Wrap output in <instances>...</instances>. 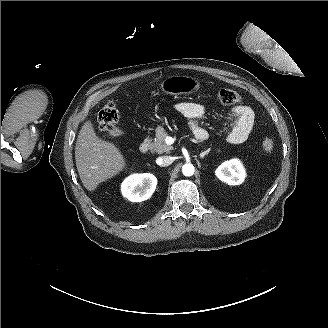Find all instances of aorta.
Segmentation results:
<instances>
[{
    "label": "aorta",
    "instance_id": "obj_1",
    "mask_svg": "<svg viewBox=\"0 0 328 328\" xmlns=\"http://www.w3.org/2000/svg\"><path fill=\"white\" fill-rule=\"evenodd\" d=\"M195 168L191 163L184 164L182 167V173L184 176H192L194 174Z\"/></svg>",
    "mask_w": 328,
    "mask_h": 328
}]
</instances>
